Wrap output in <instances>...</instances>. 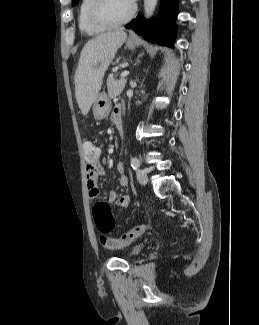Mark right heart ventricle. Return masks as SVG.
<instances>
[{
  "mask_svg": "<svg viewBox=\"0 0 259 325\" xmlns=\"http://www.w3.org/2000/svg\"><path fill=\"white\" fill-rule=\"evenodd\" d=\"M92 0H81L78 7V27L79 30L88 35L95 36L104 32L107 28L94 25L89 19V8Z\"/></svg>",
  "mask_w": 259,
  "mask_h": 325,
  "instance_id": "1",
  "label": "right heart ventricle"
}]
</instances>
